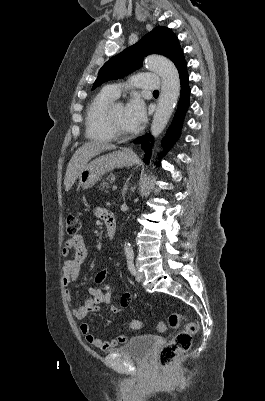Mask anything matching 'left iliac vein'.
I'll return each instance as SVG.
<instances>
[{
	"label": "left iliac vein",
	"instance_id": "4c4485c4",
	"mask_svg": "<svg viewBox=\"0 0 265 401\" xmlns=\"http://www.w3.org/2000/svg\"><path fill=\"white\" fill-rule=\"evenodd\" d=\"M135 278H136V281H138V282L142 281V279H143V273L140 272L139 270H137V271H136V274H135Z\"/></svg>",
	"mask_w": 265,
	"mask_h": 401
}]
</instances>
